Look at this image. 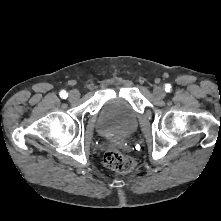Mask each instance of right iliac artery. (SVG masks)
<instances>
[{
    "label": "right iliac artery",
    "instance_id": "right-iliac-artery-1",
    "mask_svg": "<svg viewBox=\"0 0 221 221\" xmlns=\"http://www.w3.org/2000/svg\"><path fill=\"white\" fill-rule=\"evenodd\" d=\"M60 97L63 98V99H66L68 97V94L66 93V91L62 90L60 93H59Z\"/></svg>",
    "mask_w": 221,
    "mask_h": 221
}]
</instances>
